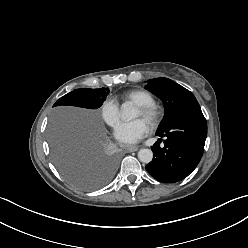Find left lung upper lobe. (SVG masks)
<instances>
[{
	"instance_id": "obj_1",
	"label": "left lung upper lobe",
	"mask_w": 248,
	"mask_h": 248,
	"mask_svg": "<svg viewBox=\"0 0 248 248\" xmlns=\"http://www.w3.org/2000/svg\"><path fill=\"white\" fill-rule=\"evenodd\" d=\"M146 89L158 96L164 103L165 114L157 131L167 127L188 107L198 104L195 96L189 90L168 78L148 80Z\"/></svg>"
}]
</instances>
